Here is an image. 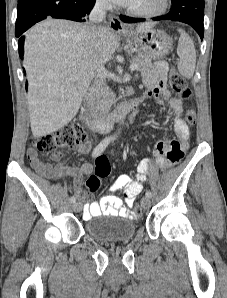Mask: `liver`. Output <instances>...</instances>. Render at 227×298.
<instances>
[{"instance_id":"obj_1","label":"liver","mask_w":227,"mask_h":298,"mask_svg":"<svg viewBox=\"0 0 227 298\" xmlns=\"http://www.w3.org/2000/svg\"><path fill=\"white\" fill-rule=\"evenodd\" d=\"M85 27L69 20L48 18L26 35L23 65L29 82L35 137L63 128L76 116L97 65L108 62L119 47L118 38L110 29L99 27L97 40L92 43ZM153 27L154 23H143L135 33Z\"/></svg>"}]
</instances>
